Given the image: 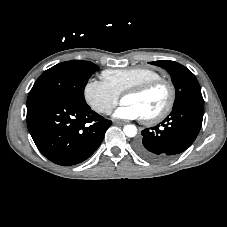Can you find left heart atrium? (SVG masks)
Masks as SVG:
<instances>
[{"instance_id":"obj_1","label":"left heart atrium","mask_w":227,"mask_h":227,"mask_svg":"<svg viewBox=\"0 0 227 227\" xmlns=\"http://www.w3.org/2000/svg\"><path fill=\"white\" fill-rule=\"evenodd\" d=\"M113 116L118 119L123 120H134V119H141L142 114L139 109L127 103H122L114 112Z\"/></svg>"}]
</instances>
